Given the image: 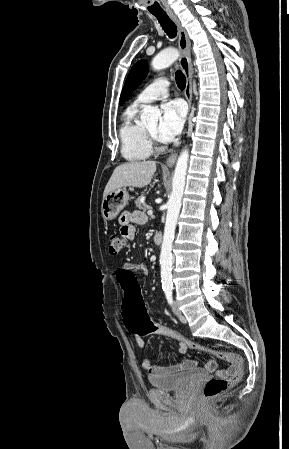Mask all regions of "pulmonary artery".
<instances>
[{
  "instance_id": "1",
  "label": "pulmonary artery",
  "mask_w": 289,
  "mask_h": 449,
  "mask_svg": "<svg viewBox=\"0 0 289 449\" xmlns=\"http://www.w3.org/2000/svg\"><path fill=\"white\" fill-rule=\"evenodd\" d=\"M169 82L165 78H159L147 86L135 99L134 104L141 106L155 100L162 99L168 94Z\"/></svg>"
}]
</instances>
